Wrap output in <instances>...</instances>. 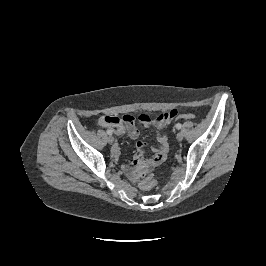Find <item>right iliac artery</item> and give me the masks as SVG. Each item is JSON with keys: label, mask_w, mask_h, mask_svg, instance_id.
I'll return each mask as SVG.
<instances>
[{"label": "right iliac artery", "mask_w": 266, "mask_h": 266, "mask_svg": "<svg viewBox=\"0 0 266 266\" xmlns=\"http://www.w3.org/2000/svg\"><path fill=\"white\" fill-rule=\"evenodd\" d=\"M106 132L108 135H112V133H113L112 130H110V129H108Z\"/></svg>", "instance_id": "1"}]
</instances>
